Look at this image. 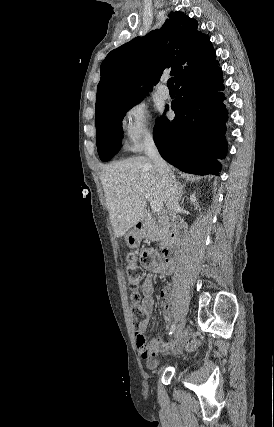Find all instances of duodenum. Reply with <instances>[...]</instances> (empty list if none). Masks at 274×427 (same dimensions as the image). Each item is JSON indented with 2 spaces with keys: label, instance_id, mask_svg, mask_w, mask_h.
I'll return each mask as SVG.
<instances>
[{
  "label": "duodenum",
  "instance_id": "duodenum-1",
  "mask_svg": "<svg viewBox=\"0 0 274 427\" xmlns=\"http://www.w3.org/2000/svg\"><path fill=\"white\" fill-rule=\"evenodd\" d=\"M136 227H137V231L141 232L143 230V223L139 222ZM176 234H177V224L173 222L172 230L170 231L169 235L165 239H163L161 243V253L165 261H170L172 259V248L175 243Z\"/></svg>",
  "mask_w": 274,
  "mask_h": 427
}]
</instances>
